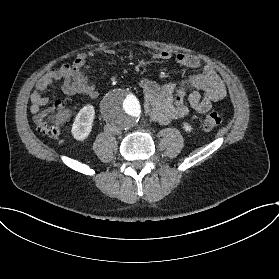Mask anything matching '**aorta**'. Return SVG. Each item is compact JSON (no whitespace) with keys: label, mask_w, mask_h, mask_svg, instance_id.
Here are the masks:
<instances>
[{"label":"aorta","mask_w":279,"mask_h":279,"mask_svg":"<svg viewBox=\"0 0 279 279\" xmlns=\"http://www.w3.org/2000/svg\"><path fill=\"white\" fill-rule=\"evenodd\" d=\"M101 111L110 128L122 131L136 125L142 114L139 98L128 89H115L102 101Z\"/></svg>","instance_id":"762f6f07"}]
</instances>
